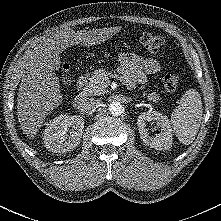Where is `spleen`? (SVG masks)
<instances>
[{
  "label": "spleen",
  "instance_id": "obj_1",
  "mask_svg": "<svg viewBox=\"0 0 221 221\" xmlns=\"http://www.w3.org/2000/svg\"><path fill=\"white\" fill-rule=\"evenodd\" d=\"M203 115L202 101L196 89H188L182 96L179 106L171 114V125L176 137L184 145L195 139Z\"/></svg>",
  "mask_w": 221,
  "mask_h": 221
}]
</instances>
